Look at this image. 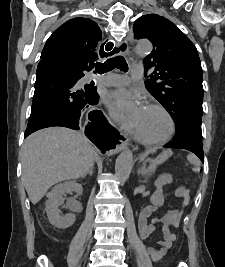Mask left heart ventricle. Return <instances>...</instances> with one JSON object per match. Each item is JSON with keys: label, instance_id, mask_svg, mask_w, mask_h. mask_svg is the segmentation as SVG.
<instances>
[{"label": "left heart ventricle", "instance_id": "left-heart-ventricle-1", "mask_svg": "<svg viewBox=\"0 0 225 267\" xmlns=\"http://www.w3.org/2000/svg\"><path fill=\"white\" fill-rule=\"evenodd\" d=\"M135 125L149 139L160 140L167 137L171 130L168 117L158 109L143 108Z\"/></svg>", "mask_w": 225, "mask_h": 267}]
</instances>
